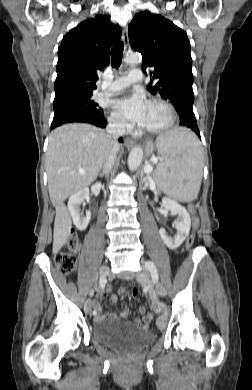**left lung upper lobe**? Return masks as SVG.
<instances>
[{"label": "left lung upper lobe", "instance_id": "left-lung-upper-lobe-1", "mask_svg": "<svg viewBox=\"0 0 252 390\" xmlns=\"http://www.w3.org/2000/svg\"><path fill=\"white\" fill-rule=\"evenodd\" d=\"M128 32L131 47L142 54V70L154 69L150 71V92L170 100L177 111L183 105L192 108L194 77L187 34L149 11L137 13Z\"/></svg>", "mask_w": 252, "mask_h": 390}]
</instances>
